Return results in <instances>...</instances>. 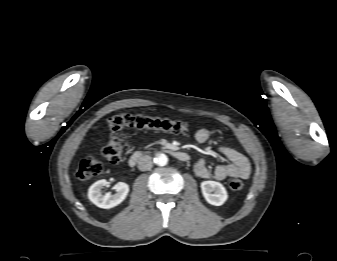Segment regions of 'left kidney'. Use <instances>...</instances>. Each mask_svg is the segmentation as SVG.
<instances>
[{"label": "left kidney", "instance_id": "1", "mask_svg": "<svg viewBox=\"0 0 337 261\" xmlns=\"http://www.w3.org/2000/svg\"><path fill=\"white\" fill-rule=\"evenodd\" d=\"M201 190L205 200L214 206H221L228 198L225 187L216 181H203Z\"/></svg>", "mask_w": 337, "mask_h": 261}]
</instances>
